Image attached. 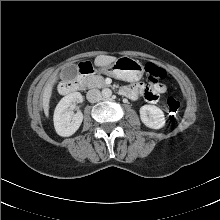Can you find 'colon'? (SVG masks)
<instances>
[{"label":"colon","mask_w":220,"mask_h":220,"mask_svg":"<svg viewBox=\"0 0 220 220\" xmlns=\"http://www.w3.org/2000/svg\"><path fill=\"white\" fill-rule=\"evenodd\" d=\"M145 71L152 83V86L155 84H160L162 80L166 77V72L161 67L155 65L154 63H147L145 65ZM180 112V102L173 97H169L166 100V114L171 121H174Z\"/></svg>","instance_id":"colon-1"}]
</instances>
